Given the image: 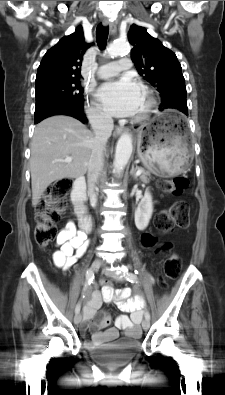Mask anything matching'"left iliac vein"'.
<instances>
[{"label": "left iliac vein", "instance_id": "1", "mask_svg": "<svg viewBox=\"0 0 225 395\" xmlns=\"http://www.w3.org/2000/svg\"><path fill=\"white\" fill-rule=\"evenodd\" d=\"M104 271H105V273H106L108 276L112 277V278H113L114 280H116V281H122V280H123V278H122L120 275L116 274V273L113 272V271H109V270H107V269H104ZM142 327H143L144 330H148L149 327H150V321H149L148 319H144V320L142 321Z\"/></svg>", "mask_w": 225, "mask_h": 395}]
</instances>
